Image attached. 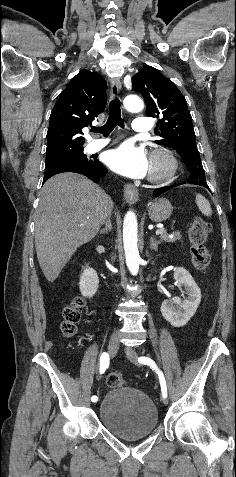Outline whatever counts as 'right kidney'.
<instances>
[{"mask_svg":"<svg viewBox=\"0 0 236 477\" xmlns=\"http://www.w3.org/2000/svg\"><path fill=\"white\" fill-rule=\"evenodd\" d=\"M79 286L83 296L93 297L99 287L97 272L93 268L86 266L80 277Z\"/></svg>","mask_w":236,"mask_h":477,"instance_id":"ca27d5eb","label":"right kidney"}]
</instances>
